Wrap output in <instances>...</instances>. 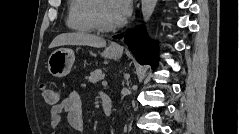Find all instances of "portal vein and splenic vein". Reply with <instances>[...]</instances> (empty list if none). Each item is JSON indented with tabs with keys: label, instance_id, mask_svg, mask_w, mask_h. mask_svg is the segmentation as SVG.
I'll return each instance as SVG.
<instances>
[{
	"label": "portal vein and splenic vein",
	"instance_id": "1",
	"mask_svg": "<svg viewBox=\"0 0 239 134\" xmlns=\"http://www.w3.org/2000/svg\"><path fill=\"white\" fill-rule=\"evenodd\" d=\"M102 85H107V81H102Z\"/></svg>",
	"mask_w": 239,
	"mask_h": 134
}]
</instances>
